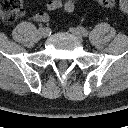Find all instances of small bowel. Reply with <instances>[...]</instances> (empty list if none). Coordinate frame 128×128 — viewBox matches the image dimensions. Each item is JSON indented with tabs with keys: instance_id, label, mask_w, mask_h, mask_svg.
<instances>
[{
	"instance_id": "1",
	"label": "small bowel",
	"mask_w": 128,
	"mask_h": 128,
	"mask_svg": "<svg viewBox=\"0 0 128 128\" xmlns=\"http://www.w3.org/2000/svg\"><path fill=\"white\" fill-rule=\"evenodd\" d=\"M63 6L62 0H48L47 2V10L48 12H53L58 9H60ZM48 12H38L34 15V20L37 22H47L50 18V15Z\"/></svg>"
}]
</instances>
